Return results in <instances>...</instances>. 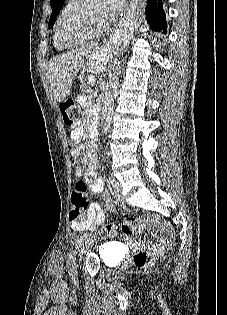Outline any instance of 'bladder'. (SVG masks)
I'll use <instances>...</instances> for the list:
<instances>
[{
    "label": "bladder",
    "mask_w": 227,
    "mask_h": 315,
    "mask_svg": "<svg viewBox=\"0 0 227 315\" xmlns=\"http://www.w3.org/2000/svg\"><path fill=\"white\" fill-rule=\"evenodd\" d=\"M120 252L112 244H104L100 248V258L107 266L112 267L118 263Z\"/></svg>",
    "instance_id": "bladder-1"
}]
</instances>
